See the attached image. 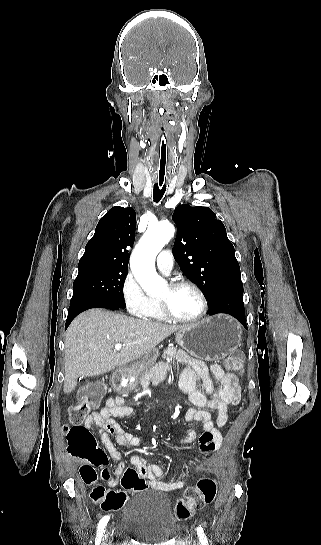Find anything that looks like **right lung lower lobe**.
<instances>
[{"label":"right lung lower lobe","instance_id":"right-lung-lower-lobe-1","mask_svg":"<svg viewBox=\"0 0 321 545\" xmlns=\"http://www.w3.org/2000/svg\"><path fill=\"white\" fill-rule=\"evenodd\" d=\"M125 304H112L107 302H96V301H81L75 303L69 307L68 316L66 320V328L69 326L71 321L81 312L90 309V308H108L113 310H118L120 308H125Z\"/></svg>","mask_w":321,"mask_h":545}]
</instances>
